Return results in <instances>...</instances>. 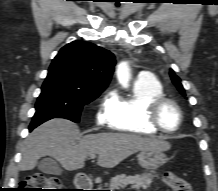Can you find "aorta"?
<instances>
[{"label": "aorta", "mask_w": 218, "mask_h": 191, "mask_svg": "<svg viewBox=\"0 0 218 191\" xmlns=\"http://www.w3.org/2000/svg\"><path fill=\"white\" fill-rule=\"evenodd\" d=\"M117 79L123 87H128L131 78L130 68L126 62H122L117 67Z\"/></svg>", "instance_id": "aorta-1"}]
</instances>
